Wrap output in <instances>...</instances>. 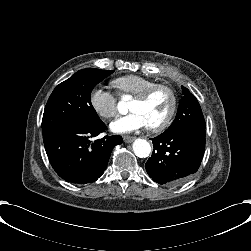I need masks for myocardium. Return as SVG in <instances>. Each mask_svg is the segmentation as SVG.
<instances>
[{
	"instance_id": "f54148a6",
	"label": "myocardium",
	"mask_w": 251,
	"mask_h": 251,
	"mask_svg": "<svg viewBox=\"0 0 251 251\" xmlns=\"http://www.w3.org/2000/svg\"><path fill=\"white\" fill-rule=\"evenodd\" d=\"M162 88L170 91L172 95V105H171L170 111L168 112V114L162 121L148 126V128L152 131L163 130L167 128L172 122L176 114V111L178 109V104H179V97H178L177 90L170 84L155 82L154 84L149 86L145 91H143L140 95L135 97V100L137 101L147 102L158 89H162Z\"/></svg>"
}]
</instances>
